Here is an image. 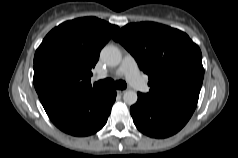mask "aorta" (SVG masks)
<instances>
[{
    "instance_id": "aorta-1",
    "label": "aorta",
    "mask_w": 238,
    "mask_h": 158,
    "mask_svg": "<svg viewBox=\"0 0 238 158\" xmlns=\"http://www.w3.org/2000/svg\"><path fill=\"white\" fill-rule=\"evenodd\" d=\"M100 58L109 66H118L122 61L120 50L113 45H106L100 53ZM137 92L134 90H126L123 95V100L127 105H133L137 102Z\"/></svg>"
}]
</instances>
